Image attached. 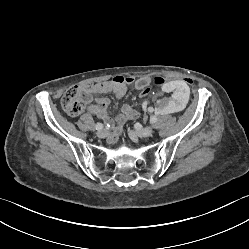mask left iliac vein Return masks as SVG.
Segmentation results:
<instances>
[{"label": "left iliac vein", "mask_w": 249, "mask_h": 249, "mask_svg": "<svg viewBox=\"0 0 249 249\" xmlns=\"http://www.w3.org/2000/svg\"><path fill=\"white\" fill-rule=\"evenodd\" d=\"M132 133H133V132L130 131V135H131ZM152 133H153V129H152L151 126H147V127L142 128V129H140V130H138V131L136 132V134H137L139 137H141V138L149 137V136L152 135Z\"/></svg>", "instance_id": "left-iliac-vein-1"}]
</instances>
